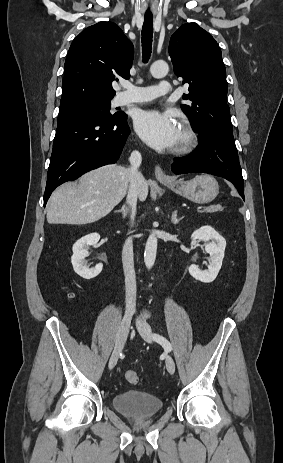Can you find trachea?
I'll use <instances>...</instances> for the list:
<instances>
[{
	"instance_id": "trachea-1",
	"label": "trachea",
	"mask_w": 283,
	"mask_h": 463,
	"mask_svg": "<svg viewBox=\"0 0 283 463\" xmlns=\"http://www.w3.org/2000/svg\"><path fill=\"white\" fill-rule=\"evenodd\" d=\"M141 34L143 62H147L151 55L153 39V17L151 15L145 16Z\"/></svg>"
}]
</instances>
